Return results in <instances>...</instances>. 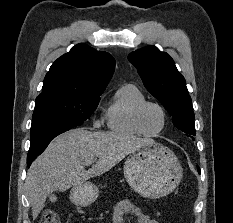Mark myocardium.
Masks as SVG:
<instances>
[{"instance_id": "obj_1", "label": "myocardium", "mask_w": 233, "mask_h": 223, "mask_svg": "<svg viewBox=\"0 0 233 223\" xmlns=\"http://www.w3.org/2000/svg\"><path fill=\"white\" fill-rule=\"evenodd\" d=\"M148 106H155L157 107L163 114L164 116V127L163 129L160 131V132H157V133H150L148 132L144 125H143V113L145 111V109L148 107ZM133 122H134V125L136 127V129L143 135L145 136H148V137H156V136H160L162 134H164L166 132V130L168 129V126H169V115H168V112L166 110V108L161 105L160 103L158 102H155V101H149V100H145L143 102H141L135 109L134 111V115H133Z\"/></svg>"}]
</instances>
